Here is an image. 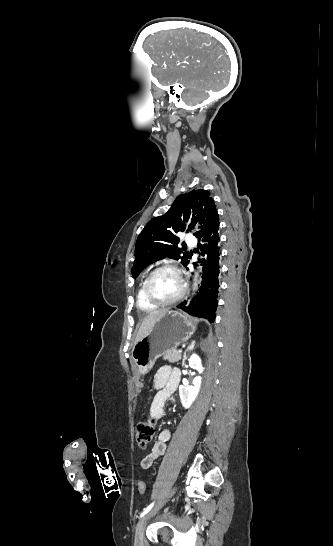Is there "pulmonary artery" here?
I'll return each mask as SVG.
<instances>
[{
    "label": "pulmonary artery",
    "mask_w": 333,
    "mask_h": 546,
    "mask_svg": "<svg viewBox=\"0 0 333 546\" xmlns=\"http://www.w3.org/2000/svg\"><path fill=\"white\" fill-rule=\"evenodd\" d=\"M184 240L189 245H194L196 243V239L192 234H186Z\"/></svg>",
    "instance_id": "e3ab8cb5"
}]
</instances>
